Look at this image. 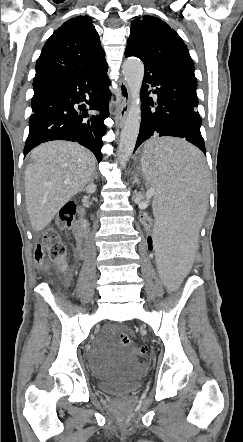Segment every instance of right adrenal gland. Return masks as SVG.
<instances>
[{
  "mask_svg": "<svg viewBox=\"0 0 243 442\" xmlns=\"http://www.w3.org/2000/svg\"><path fill=\"white\" fill-rule=\"evenodd\" d=\"M94 179H96L97 180V172H96V170H94V173H93V175H92V177H91V182H93V180Z\"/></svg>",
  "mask_w": 243,
  "mask_h": 442,
  "instance_id": "1",
  "label": "right adrenal gland"
}]
</instances>
